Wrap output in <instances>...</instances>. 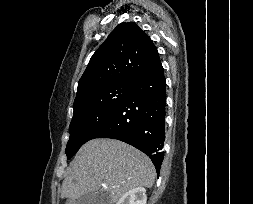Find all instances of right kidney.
I'll use <instances>...</instances> for the list:
<instances>
[{
	"mask_svg": "<svg viewBox=\"0 0 253 204\" xmlns=\"http://www.w3.org/2000/svg\"><path fill=\"white\" fill-rule=\"evenodd\" d=\"M146 189L137 187L126 192L116 204H146Z\"/></svg>",
	"mask_w": 253,
	"mask_h": 204,
	"instance_id": "ca27d5eb",
	"label": "right kidney"
}]
</instances>
